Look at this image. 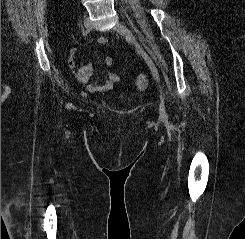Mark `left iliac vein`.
Returning <instances> with one entry per match:
<instances>
[{
    "label": "left iliac vein",
    "instance_id": "left-iliac-vein-1",
    "mask_svg": "<svg viewBox=\"0 0 245 239\" xmlns=\"http://www.w3.org/2000/svg\"><path fill=\"white\" fill-rule=\"evenodd\" d=\"M113 29H114V31H116L120 35L124 36L127 41H129L130 43H132L136 47L137 51L140 53V55L143 57V59L145 60V62L149 66L154 78L157 80V82H160L159 73H158V70H157L154 62L152 61L150 56L146 53V51L143 49V47L140 45V43L137 41V39L134 36V34L132 33V31L120 22H117ZM160 111L162 113H164V111H165V106H164L163 100L160 103Z\"/></svg>",
    "mask_w": 245,
    "mask_h": 239
}]
</instances>
